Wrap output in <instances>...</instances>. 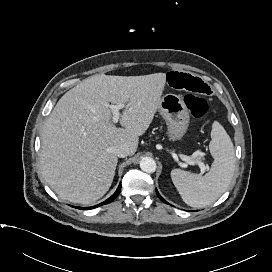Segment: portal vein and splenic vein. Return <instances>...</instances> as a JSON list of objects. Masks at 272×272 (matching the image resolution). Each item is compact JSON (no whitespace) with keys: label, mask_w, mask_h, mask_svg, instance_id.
<instances>
[{"label":"portal vein and splenic vein","mask_w":272,"mask_h":272,"mask_svg":"<svg viewBox=\"0 0 272 272\" xmlns=\"http://www.w3.org/2000/svg\"><path fill=\"white\" fill-rule=\"evenodd\" d=\"M125 106H126L125 104L109 105L113 114L112 116L113 123L118 122L120 118L119 110L124 108ZM181 159L190 165H198L201 170L200 175H203L206 172V166L203 162L192 160L189 156H186V155H181Z\"/></svg>","instance_id":"obj_1"}]
</instances>
